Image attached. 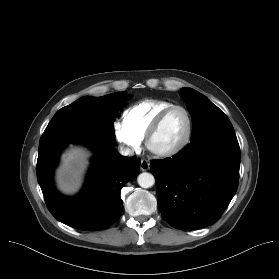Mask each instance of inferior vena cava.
Listing matches in <instances>:
<instances>
[{"label": "inferior vena cava", "mask_w": 279, "mask_h": 279, "mask_svg": "<svg viewBox=\"0 0 279 279\" xmlns=\"http://www.w3.org/2000/svg\"><path fill=\"white\" fill-rule=\"evenodd\" d=\"M119 152L123 156H131L134 153V151L132 149H130L129 147H125V146H120Z\"/></svg>", "instance_id": "obj_1"}]
</instances>
